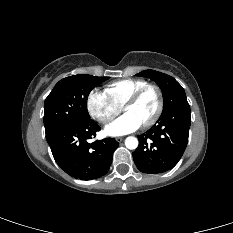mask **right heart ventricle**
Segmentation results:
<instances>
[{
  "instance_id": "1",
  "label": "right heart ventricle",
  "mask_w": 233,
  "mask_h": 233,
  "mask_svg": "<svg viewBox=\"0 0 233 233\" xmlns=\"http://www.w3.org/2000/svg\"><path fill=\"white\" fill-rule=\"evenodd\" d=\"M148 84L143 79H122L107 84L104 88L106 97L118 107H122L127 98L140 87Z\"/></svg>"
}]
</instances>
